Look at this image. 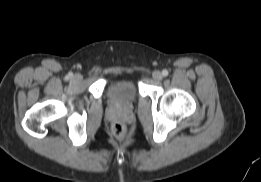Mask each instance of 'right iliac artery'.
Listing matches in <instances>:
<instances>
[{
	"label": "right iliac artery",
	"instance_id": "1",
	"mask_svg": "<svg viewBox=\"0 0 261 182\" xmlns=\"http://www.w3.org/2000/svg\"><path fill=\"white\" fill-rule=\"evenodd\" d=\"M73 76V74H68L67 78H71Z\"/></svg>",
	"mask_w": 261,
	"mask_h": 182
}]
</instances>
